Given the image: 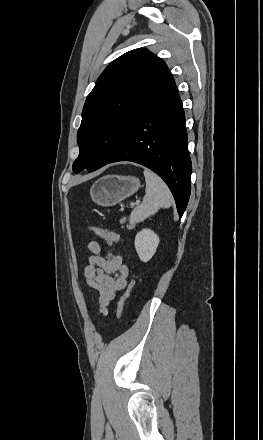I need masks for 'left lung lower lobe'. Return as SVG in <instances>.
Wrapping results in <instances>:
<instances>
[{"label": "left lung lower lobe", "mask_w": 263, "mask_h": 440, "mask_svg": "<svg viewBox=\"0 0 263 440\" xmlns=\"http://www.w3.org/2000/svg\"><path fill=\"white\" fill-rule=\"evenodd\" d=\"M187 142L182 102L169 74L141 108L125 142L106 164L131 161L151 169L168 185L182 217L190 197L192 164Z\"/></svg>", "instance_id": "0a47b994"}]
</instances>
